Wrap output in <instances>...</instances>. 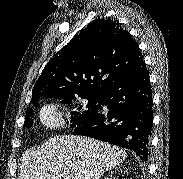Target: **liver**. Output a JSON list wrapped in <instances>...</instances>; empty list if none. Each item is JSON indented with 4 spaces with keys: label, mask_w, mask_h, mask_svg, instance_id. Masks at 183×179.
Returning <instances> with one entry per match:
<instances>
[{
    "label": "liver",
    "mask_w": 183,
    "mask_h": 179,
    "mask_svg": "<svg viewBox=\"0 0 183 179\" xmlns=\"http://www.w3.org/2000/svg\"><path fill=\"white\" fill-rule=\"evenodd\" d=\"M125 158V151L106 142L56 136L23 154L20 179H99Z\"/></svg>",
    "instance_id": "6515ba94"
}]
</instances>
